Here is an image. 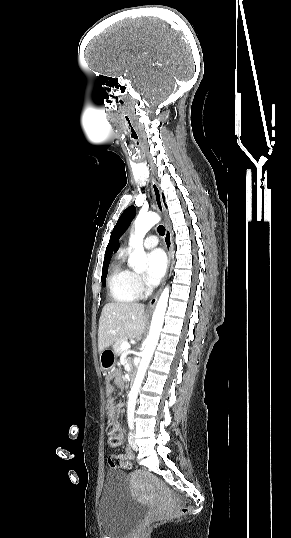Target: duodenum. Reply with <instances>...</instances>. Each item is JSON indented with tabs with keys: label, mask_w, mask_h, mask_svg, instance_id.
Masks as SVG:
<instances>
[{
	"label": "duodenum",
	"mask_w": 291,
	"mask_h": 538,
	"mask_svg": "<svg viewBox=\"0 0 291 538\" xmlns=\"http://www.w3.org/2000/svg\"><path fill=\"white\" fill-rule=\"evenodd\" d=\"M130 381H133L134 378H137V373H129ZM129 386H132V383H129Z\"/></svg>",
	"instance_id": "duodenum-1"
}]
</instances>
